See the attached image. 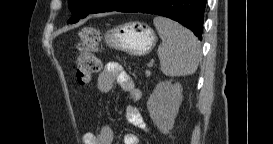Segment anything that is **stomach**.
<instances>
[{
    "instance_id": "stomach-1",
    "label": "stomach",
    "mask_w": 273,
    "mask_h": 144,
    "mask_svg": "<svg viewBox=\"0 0 273 144\" xmlns=\"http://www.w3.org/2000/svg\"><path fill=\"white\" fill-rule=\"evenodd\" d=\"M106 44L133 56H144L156 45L153 30L139 22H129L110 29L105 34Z\"/></svg>"
}]
</instances>
